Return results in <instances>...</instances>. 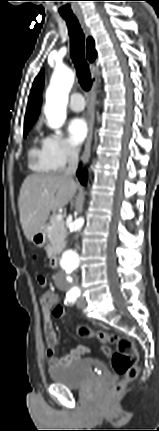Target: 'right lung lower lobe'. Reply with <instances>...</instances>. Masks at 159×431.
I'll return each mask as SVG.
<instances>
[{"instance_id":"right-lung-lower-lobe-1","label":"right lung lower lobe","mask_w":159,"mask_h":431,"mask_svg":"<svg viewBox=\"0 0 159 431\" xmlns=\"http://www.w3.org/2000/svg\"><path fill=\"white\" fill-rule=\"evenodd\" d=\"M77 175H78L80 182L83 185H85L87 182V171H86V169L82 170L81 168H79Z\"/></svg>"}]
</instances>
